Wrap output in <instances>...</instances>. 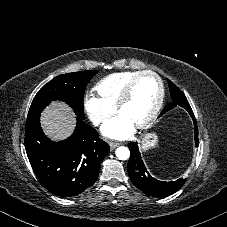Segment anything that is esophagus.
<instances>
[{
  "label": "esophagus",
  "instance_id": "obj_1",
  "mask_svg": "<svg viewBox=\"0 0 227 227\" xmlns=\"http://www.w3.org/2000/svg\"><path fill=\"white\" fill-rule=\"evenodd\" d=\"M109 146H110L111 149H114L117 146H119V143L118 142H109Z\"/></svg>",
  "mask_w": 227,
  "mask_h": 227
}]
</instances>
